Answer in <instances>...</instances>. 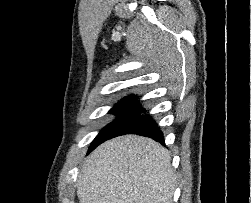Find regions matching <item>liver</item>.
<instances>
[{"instance_id":"6515ba94","label":"liver","mask_w":251,"mask_h":203,"mask_svg":"<svg viewBox=\"0 0 251 203\" xmlns=\"http://www.w3.org/2000/svg\"><path fill=\"white\" fill-rule=\"evenodd\" d=\"M168 151L150 138L126 135L97 147L80 168V203H172Z\"/></svg>"}]
</instances>
